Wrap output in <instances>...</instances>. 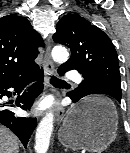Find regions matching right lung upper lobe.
<instances>
[{
    "label": "right lung upper lobe",
    "mask_w": 130,
    "mask_h": 153,
    "mask_svg": "<svg viewBox=\"0 0 130 153\" xmlns=\"http://www.w3.org/2000/svg\"><path fill=\"white\" fill-rule=\"evenodd\" d=\"M41 36L22 16L0 18V81L28 76L39 69L34 62Z\"/></svg>",
    "instance_id": "cb5924a9"
}]
</instances>
